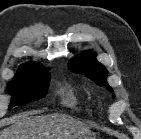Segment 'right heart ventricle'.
<instances>
[{"mask_svg":"<svg viewBox=\"0 0 141 139\" xmlns=\"http://www.w3.org/2000/svg\"><path fill=\"white\" fill-rule=\"evenodd\" d=\"M59 94L61 97V103L64 106L72 109H79L81 102L73 87L65 85L60 89Z\"/></svg>","mask_w":141,"mask_h":139,"instance_id":"right-heart-ventricle-1","label":"right heart ventricle"}]
</instances>
